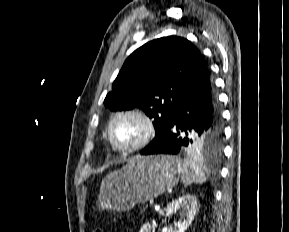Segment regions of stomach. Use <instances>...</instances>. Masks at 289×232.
Returning <instances> with one entry per match:
<instances>
[{"mask_svg": "<svg viewBox=\"0 0 289 232\" xmlns=\"http://www.w3.org/2000/svg\"><path fill=\"white\" fill-rule=\"evenodd\" d=\"M179 160L173 156H136L120 170L107 175L100 187L99 209L119 212L151 200L178 181Z\"/></svg>", "mask_w": 289, "mask_h": 232, "instance_id": "1", "label": "stomach"}]
</instances>
